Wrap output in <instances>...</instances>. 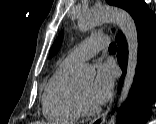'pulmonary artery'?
<instances>
[{
	"label": "pulmonary artery",
	"instance_id": "pulmonary-artery-1",
	"mask_svg": "<svg viewBox=\"0 0 156 124\" xmlns=\"http://www.w3.org/2000/svg\"><path fill=\"white\" fill-rule=\"evenodd\" d=\"M108 45V37L106 35H97L90 37L80 43L72 50L63 62L67 65H76L94 57L100 50Z\"/></svg>",
	"mask_w": 156,
	"mask_h": 124
}]
</instances>
